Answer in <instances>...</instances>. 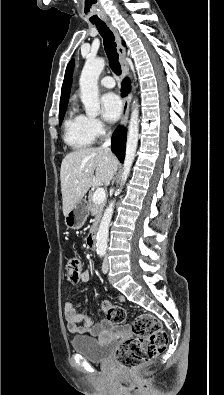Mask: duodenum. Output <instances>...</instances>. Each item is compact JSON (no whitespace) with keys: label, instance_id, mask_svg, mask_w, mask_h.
I'll list each match as a JSON object with an SVG mask.
<instances>
[{"label":"duodenum","instance_id":"obj_1","mask_svg":"<svg viewBox=\"0 0 224 395\" xmlns=\"http://www.w3.org/2000/svg\"><path fill=\"white\" fill-rule=\"evenodd\" d=\"M99 226L98 223L95 222L92 227L91 231L87 238V245L90 249H96V242H97V234H98Z\"/></svg>","mask_w":224,"mask_h":395}]
</instances>
